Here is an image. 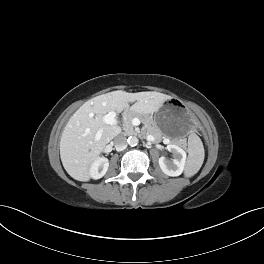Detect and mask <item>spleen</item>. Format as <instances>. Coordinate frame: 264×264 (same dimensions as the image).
I'll list each match as a JSON object with an SVG mask.
<instances>
[{"label":"spleen","instance_id":"1","mask_svg":"<svg viewBox=\"0 0 264 264\" xmlns=\"http://www.w3.org/2000/svg\"><path fill=\"white\" fill-rule=\"evenodd\" d=\"M188 161L185 167V176L195 175L201 168L204 161V147L201 139L196 134H191L188 138Z\"/></svg>","mask_w":264,"mask_h":264}]
</instances>
